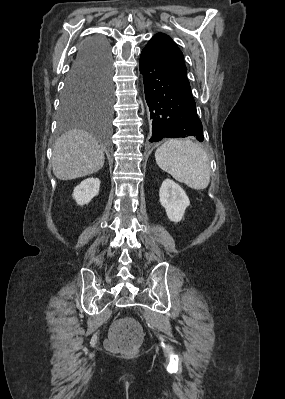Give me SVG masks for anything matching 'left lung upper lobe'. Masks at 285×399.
<instances>
[{
	"label": "left lung upper lobe",
	"mask_w": 285,
	"mask_h": 399,
	"mask_svg": "<svg viewBox=\"0 0 285 399\" xmlns=\"http://www.w3.org/2000/svg\"><path fill=\"white\" fill-rule=\"evenodd\" d=\"M144 49L155 55L177 77L189 83L183 53L168 35L157 33Z\"/></svg>",
	"instance_id": "obj_1"
}]
</instances>
